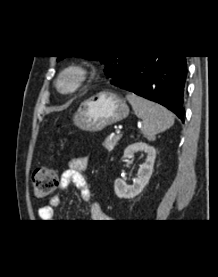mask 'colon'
I'll return each instance as SVG.
<instances>
[{"label": "colon", "instance_id": "1", "mask_svg": "<svg viewBox=\"0 0 218 277\" xmlns=\"http://www.w3.org/2000/svg\"><path fill=\"white\" fill-rule=\"evenodd\" d=\"M34 195L38 199L48 197L58 183V173L50 166L37 168L32 175Z\"/></svg>", "mask_w": 218, "mask_h": 277}]
</instances>
